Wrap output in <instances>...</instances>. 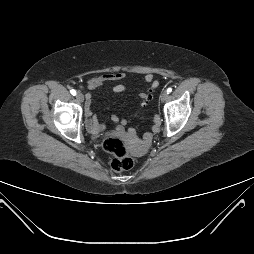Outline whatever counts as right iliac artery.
I'll return each instance as SVG.
<instances>
[{"mask_svg":"<svg viewBox=\"0 0 254 254\" xmlns=\"http://www.w3.org/2000/svg\"><path fill=\"white\" fill-rule=\"evenodd\" d=\"M70 92L72 95H74V96L76 95V91L74 89H72Z\"/></svg>","mask_w":254,"mask_h":254,"instance_id":"1","label":"right iliac artery"}]
</instances>
